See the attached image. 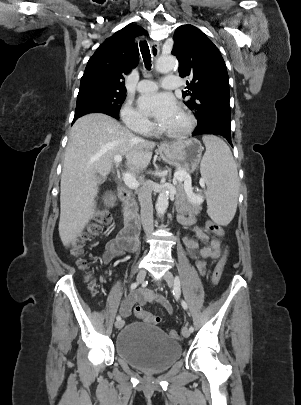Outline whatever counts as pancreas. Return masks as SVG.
<instances>
[{
    "mask_svg": "<svg viewBox=\"0 0 301 405\" xmlns=\"http://www.w3.org/2000/svg\"><path fill=\"white\" fill-rule=\"evenodd\" d=\"M178 171H184L187 173V171L183 168L178 169ZM176 188H177V194L175 197L176 206H178L181 210H183L186 213L198 214L201 210V205L198 202L192 201L188 197V195L184 190V184L182 182H179L176 184Z\"/></svg>",
    "mask_w": 301,
    "mask_h": 405,
    "instance_id": "cf45deb5",
    "label": "pancreas"
}]
</instances>
